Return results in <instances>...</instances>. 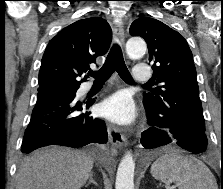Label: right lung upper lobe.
Returning a JSON list of instances; mask_svg holds the SVG:
<instances>
[{"label": "right lung upper lobe", "mask_w": 223, "mask_h": 189, "mask_svg": "<svg viewBox=\"0 0 223 189\" xmlns=\"http://www.w3.org/2000/svg\"><path fill=\"white\" fill-rule=\"evenodd\" d=\"M112 30L100 17L82 19L63 28L46 47L39 71L40 92L78 89L86 76L77 77L90 69L98 56L107 53Z\"/></svg>", "instance_id": "cb5924a9"}]
</instances>
